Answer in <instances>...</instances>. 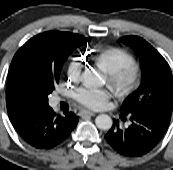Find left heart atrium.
I'll list each match as a JSON object with an SVG mask.
<instances>
[{
    "mask_svg": "<svg viewBox=\"0 0 173 170\" xmlns=\"http://www.w3.org/2000/svg\"><path fill=\"white\" fill-rule=\"evenodd\" d=\"M109 97L110 94L106 90L91 89L83 92L81 99L86 105L97 107L102 105Z\"/></svg>",
    "mask_w": 173,
    "mask_h": 170,
    "instance_id": "39dd6f15",
    "label": "left heart atrium"
}]
</instances>
